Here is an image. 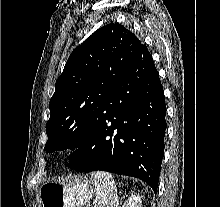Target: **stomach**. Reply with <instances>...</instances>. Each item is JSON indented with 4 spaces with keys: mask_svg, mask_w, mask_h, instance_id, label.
Returning <instances> with one entry per match:
<instances>
[{
    "mask_svg": "<svg viewBox=\"0 0 220 207\" xmlns=\"http://www.w3.org/2000/svg\"><path fill=\"white\" fill-rule=\"evenodd\" d=\"M94 193V181L81 176L46 182L39 189L43 207H85Z\"/></svg>",
    "mask_w": 220,
    "mask_h": 207,
    "instance_id": "0dacf381",
    "label": "stomach"
}]
</instances>
